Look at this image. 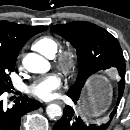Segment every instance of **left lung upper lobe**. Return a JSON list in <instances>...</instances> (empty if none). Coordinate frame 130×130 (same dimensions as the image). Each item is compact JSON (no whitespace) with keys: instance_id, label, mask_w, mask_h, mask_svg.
Returning <instances> with one entry per match:
<instances>
[{"instance_id":"obj_1","label":"left lung upper lobe","mask_w":130,"mask_h":130,"mask_svg":"<svg viewBox=\"0 0 130 130\" xmlns=\"http://www.w3.org/2000/svg\"><path fill=\"white\" fill-rule=\"evenodd\" d=\"M51 29L77 50L79 71L75 84L68 90V96L80 97L89 80L103 70L116 67L119 71L121 69L125 71V60L120 44L107 30L85 21L54 25ZM97 77L99 76L92 80ZM124 86L125 83L120 81L119 101Z\"/></svg>"}]
</instances>
